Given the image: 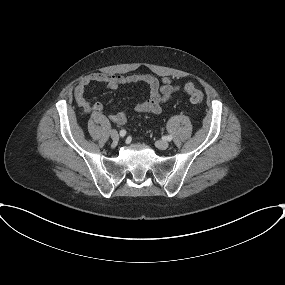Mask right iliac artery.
Masks as SVG:
<instances>
[{
    "mask_svg": "<svg viewBox=\"0 0 285 285\" xmlns=\"http://www.w3.org/2000/svg\"><path fill=\"white\" fill-rule=\"evenodd\" d=\"M125 135H126V131H125V130H121V131H120V136L123 137V136H125Z\"/></svg>",
    "mask_w": 285,
    "mask_h": 285,
    "instance_id": "right-iliac-artery-1",
    "label": "right iliac artery"
}]
</instances>
